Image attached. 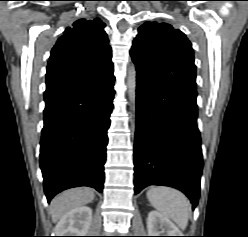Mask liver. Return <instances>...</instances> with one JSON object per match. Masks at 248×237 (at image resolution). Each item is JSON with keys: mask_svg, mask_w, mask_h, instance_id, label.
Here are the masks:
<instances>
[{"mask_svg": "<svg viewBox=\"0 0 248 237\" xmlns=\"http://www.w3.org/2000/svg\"><path fill=\"white\" fill-rule=\"evenodd\" d=\"M94 191L90 188H75L56 196L50 204V214L53 222H57L67 212L93 201Z\"/></svg>", "mask_w": 248, "mask_h": 237, "instance_id": "1", "label": "liver"}]
</instances>
